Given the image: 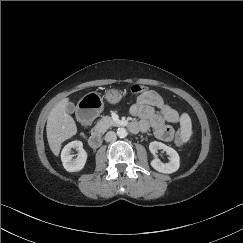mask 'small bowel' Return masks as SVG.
<instances>
[{
  "mask_svg": "<svg viewBox=\"0 0 243 243\" xmlns=\"http://www.w3.org/2000/svg\"><path fill=\"white\" fill-rule=\"evenodd\" d=\"M130 113L139 119L132 123L137 126V129L132 132L145 133L153 129L155 137L165 142L172 141L174 137L173 129L166 123L178 124L181 121L177 110L154 90L141 93L131 106Z\"/></svg>",
  "mask_w": 243,
  "mask_h": 243,
  "instance_id": "small-bowel-1",
  "label": "small bowel"
}]
</instances>
